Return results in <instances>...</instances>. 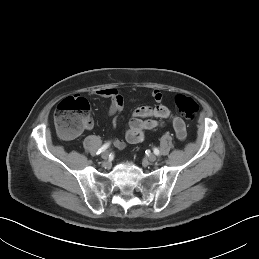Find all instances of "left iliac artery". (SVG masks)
I'll return each mask as SVG.
<instances>
[{"label":"left iliac artery","mask_w":259,"mask_h":259,"mask_svg":"<svg viewBox=\"0 0 259 259\" xmlns=\"http://www.w3.org/2000/svg\"><path fill=\"white\" fill-rule=\"evenodd\" d=\"M154 154L159 155V154H160L159 149L155 148V149H154Z\"/></svg>","instance_id":"44dca946"}]
</instances>
